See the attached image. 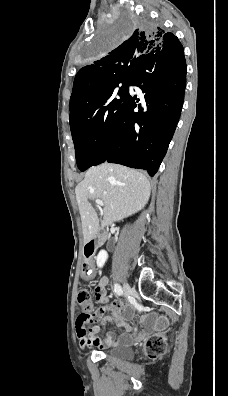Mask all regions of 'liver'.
I'll return each mask as SVG.
<instances>
[{
  "label": "liver",
  "mask_w": 228,
  "mask_h": 396,
  "mask_svg": "<svg viewBox=\"0 0 228 396\" xmlns=\"http://www.w3.org/2000/svg\"><path fill=\"white\" fill-rule=\"evenodd\" d=\"M150 193L149 180L137 170L109 163L88 169L75 188L84 243H88L99 231V219L89 199L103 201L101 228H104L144 208Z\"/></svg>",
  "instance_id": "6515ba94"
}]
</instances>
